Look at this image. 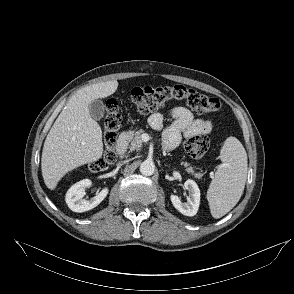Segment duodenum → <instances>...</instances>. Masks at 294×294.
<instances>
[{
    "mask_svg": "<svg viewBox=\"0 0 294 294\" xmlns=\"http://www.w3.org/2000/svg\"><path fill=\"white\" fill-rule=\"evenodd\" d=\"M129 142V134L127 131L122 132L116 142V152L119 156L125 157L127 155V147Z\"/></svg>",
    "mask_w": 294,
    "mask_h": 294,
    "instance_id": "410a0bca",
    "label": "duodenum"
}]
</instances>
